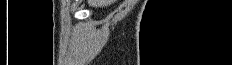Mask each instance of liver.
I'll return each instance as SVG.
<instances>
[{"label":"liver","instance_id":"liver-1","mask_svg":"<svg viewBox=\"0 0 232 65\" xmlns=\"http://www.w3.org/2000/svg\"><path fill=\"white\" fill-rule=\"evenodd\" d=\"M87 2L92 7H104L115 2V0H87Z\"/></svg>","mask_w":232,"mask_h":65}]
</instances>
